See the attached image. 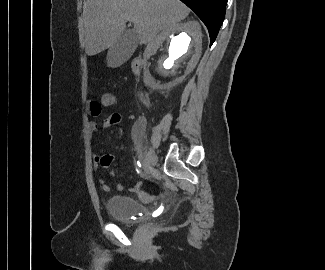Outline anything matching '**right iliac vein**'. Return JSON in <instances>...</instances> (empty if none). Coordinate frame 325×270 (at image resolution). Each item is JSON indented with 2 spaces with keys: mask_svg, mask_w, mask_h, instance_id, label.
<instances>
[{
  "mask_svg": "<svg viewBox=\"0 0 325 270\" xmlns=\"http://www.w3.org/2000/svg\"><path fill=\"white\" fill-rule=\"evenodd\" d=\"M157 163V156L155 152L153 151L151 156L146 160V165L147 166H154Z\"/></svg>",
  "mask_w": 325,
  "mask_h": 270,
  "instance_id": "obj_1",
  "label": "right iliac vein"
}]
</instances>
